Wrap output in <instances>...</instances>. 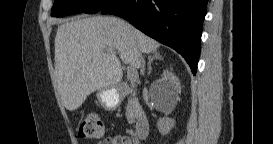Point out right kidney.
I'll return each mask as SVG.
<instances>
[{"label": "right kidney", "mask_w": 273, "mask_h": 144, "mask_svg": "<svg viewBox=\"0 0 273 144\" xmlns=\"http://www.w3.org/2000/svg\"><path fill=\"white\" fill-rule=\"evenodd\" d=\"M154 87L159 89V95L165 100H174L180 90V83L177 77L170 71H163V78L154 82ZM175 120L172 118H161L157 122V127L162 135H166L174 127Z\"/></svg>", "instance_id": "1"}]
</instances>
